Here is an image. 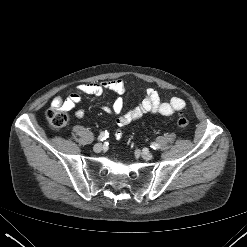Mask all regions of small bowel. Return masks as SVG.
Returning <instances> with one entry per match:
<instances>
[{
  "mask_svg": "<svg viewBox=\"0 0 247 247\" xmlns=\"http://www.w3.org/2000/svg\"><path fill=\"white\" fill-rule=\"evenodd\" d=\"M79 93L101 96L105 91H113L118 95L112 105H101V108L108 114L117 117V125L125 126L132 121L141 118L146 113L159 114L162 116H172L185 108V101L180 97H172L170 99H162L157 90L148 88L142 101L135 107L123 111L124 103L121 95L125 92V83L121 79H113L102 81L99 83H83L77 87ZM79 93H72L63 99L56 96L51 104L54 108L63 110H71L75 108L81 101ZM77 118H83L84 111L79 109L75 113ZM115 133V137L117 132ZM117 138V137H116Z\"/></svg>",
  "mask_w": 247,
  "mask_h": 247,
  "instance_id": "small-bowel-1",
  "label": "small bowel"
}]
</instances>
